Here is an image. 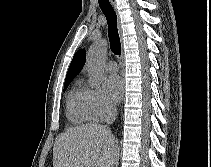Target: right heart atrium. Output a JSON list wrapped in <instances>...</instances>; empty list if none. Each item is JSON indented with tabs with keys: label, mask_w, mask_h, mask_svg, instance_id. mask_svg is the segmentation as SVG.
<instances>
[{
	"label": "right heart atrium",
	"mask_w": 211,
	"mask_h": 167,
	"mask_svg": "<svg viewBox=\"0 0 211 167\" xmlns=\"http://www.w3.org/2000/svg\"><path fill=\"white\" fill-rule=\"evenodd\" d=\"M89 111L92 119L100 121L112 113L113 108L97 90L85 88Z\"/></svg>",
	"instance_id": "obj_1"
}]
</instances>
